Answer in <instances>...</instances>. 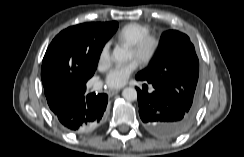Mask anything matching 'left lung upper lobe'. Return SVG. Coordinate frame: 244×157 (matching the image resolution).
Returning <instances> with one entry per match:
<instances>
[{"label":"left lung upper lobe","mask_w":244,"mask_h":157,"mask_svg":"<svg viewBox=\"0 0 244 157\" xmlns=\"http://www.w3.org/2000/svg\"><path fill=\"white\" fill-rule=\"evenodd\" d=\"M136 78L157 83L180 102L189 103L197 110L202 92L199 61L186 34L176 30L163 33L157 56Z\"/></svg>","instance_id":"1"}]
</instances>
